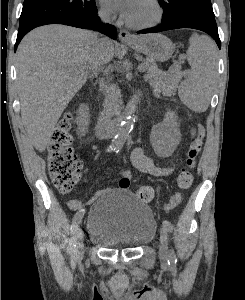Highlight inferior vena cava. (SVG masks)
Instances as JSON below:
<instances>
[{"mask_svg":"<svg viewBox=\"0 0 245 300\" xmlns=\"http://www.w3.org/2000/svg\"><path fill=\"white\" fill-rule=\"evenodd\" d=\"M100 18L105 23L110 21L109 15H107L105 13H101ZM107 40L108 39L106 37H103V38L97 37V52H96V59L94 61V68L97 72L103 70L104 74H106L108 76V75H110V70H109V68L104 67V65L106 63L103 61V49H104V45L107 42Z\"/></svg>","mask_w":245,"mask_h":300,"instance_id":"inferior-vena-cava-1","label":"inferior vena cava"}]
</instances>
